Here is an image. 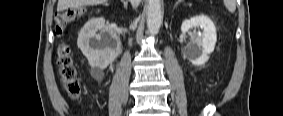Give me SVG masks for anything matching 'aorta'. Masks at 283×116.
<instances>
[{
    "instance_id": "762f6f07",
    "label": "aorta",
    "mask_w": 283,
    "mask_h": 116,
    "mask_svg": "<svg viewBox=\"0 0 283 116\" xmlns=\"http://www.w3.org/2000/svg\"><path fill=\"white\" fill-rule=\"evenodd\" d=\"M161 0H148L147 27L151 34H157L162 23Z\"/></svg>"
}]
</instances>
